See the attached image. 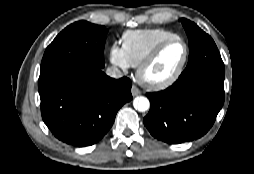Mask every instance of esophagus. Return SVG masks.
Returning a JSON list of instances; mask_svg holds the SVG:
<instances>
[{
    "label": "esophagus",
    "instance_id": "34e87169",
    "mask_svg": "<svg viewBox=\"0 0 254 174\" xmlns=\"http://www.w3.org/2000/svg\"><path fill=\"white\" fill-rule=\"evenodd\" d=\"M131 93H132L133 96H138V95L141 94V91H140V89L138 87L132 86Z\"/></svg>",
    "mask_w": 254,
    "mask_h": 174
}]
</instances>
